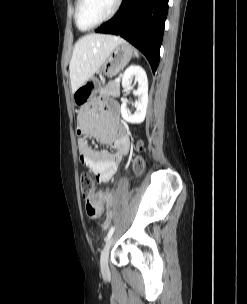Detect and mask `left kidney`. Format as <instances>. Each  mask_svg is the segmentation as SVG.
Here are the masks:
<instances>
[{"label":"left kidney","instance_id":"left-kidney-1","mask_svg":"<svg viewBox=\"0 0 247 304\" xmlns=\"http://www.w3.org/2000/svg\"><path fill=\"white\" fill-rule=\"evenodd\" d=\"M135 76L136 81L139 84L137 90L134 91V95L139 96L138 102L135 104L136 111L132 114L127 109V102H123L121 105L122 118L129 123H141L146 116V109L148 103V80L145 70L138 65L129 66L122 76V86L126 89L130 87L131 78Z\"/></svg>","mask_w":247,"mask_h":304}]
</instances>
